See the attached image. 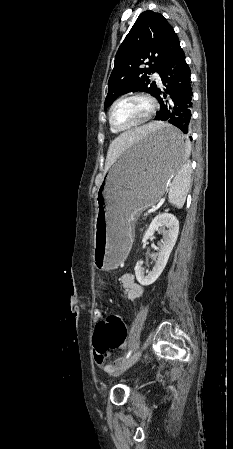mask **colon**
<instances>
[{"label": "colon", "mask_w": 233, "mask_h": 449, "mask_svg": "<svg viewBox=\"0 0 233 449\" xmlns=\"http://www.w3.org/2000/svg\"><path fill=\"white\" fill-rule=\"evenodd\" d=\"M127 339V327L121 317L110 314L104 317L93 334L95 352L106 355L110 350L122 347Z\"/></svg>", "instance_id": "1"}]
</instances>
